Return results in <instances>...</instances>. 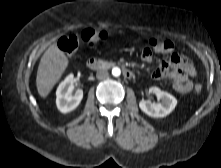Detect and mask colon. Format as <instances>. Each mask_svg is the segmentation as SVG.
Returning a JSON list of instances; mask_svg holds the SVG:
<instances>
[{"mask_svg":"<svg viewBox=\"0 0 221 168\" xmlns=\"http://www.w3.org/2000/svg\"><path fill=\"white\" fill-rule=\"evenodd\" d=\"M107 36L105 31H97V30H84L79 35H67L63 36L58 41L59 48L67 53L68 55L73 54L80 42L85 43L89 46H95L100 41L104 40ZM149 46H151L157 52H166L170 49V44L164 41H158L152 39L149 41ZM194 91L196 93H200L202 91V86L200 84L195 85Z\"/></svg>","mask_w":221,"mask_h":168,"instance_id":"obj_1","label":"colon"}]
</instances>
